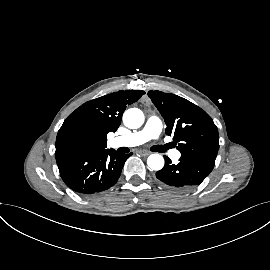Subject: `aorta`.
Here are the masks:
<instances>
[{
    "label": "aorta",
    "mask_w": 270,
    "mask_h": 270,
    "mask_svg": "<svg viewBox=\"0 0 270 270\" xmlns=\"http://www.w3.org/2000/svg\"><path fill=\"white\" fill-rule=\"evenodd\" d=\"M123 122L130 129H137L144 123V114L138 108H130L123 115ZM148 167L152 170H161L164 166V158L159 154H151L147 159Z\"/></svg>",
    "instance_id": "762f6f07"
}]
</instances>
